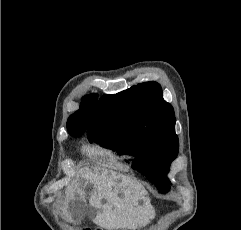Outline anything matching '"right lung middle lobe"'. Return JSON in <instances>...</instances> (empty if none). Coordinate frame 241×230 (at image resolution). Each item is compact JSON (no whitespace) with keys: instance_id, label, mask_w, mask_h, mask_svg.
Segmentation results:
<instances>
[{"instance_id":"right-lung-middle-lobe-1","label":"right lung middle lobe","mask_w":241,"mask_h":230,"mask_svg":"<svg viewBox=\"0 0 241 230\" xmlns=\"http://www.w3.org/2000/svg\"><path fill=\"white\" fill-rule=\"evenodd\" d=\"M83 133H84V131L79 130V131L72 132V133H70V134H71L72 136L77 137V136L82 135Z\"/></svg>"}]
</instances>
